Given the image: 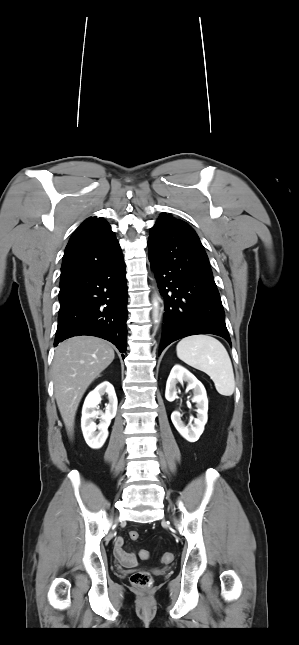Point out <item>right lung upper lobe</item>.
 Returning <instances> with one entry per match:
<instances>
[{
  "mask_svg": "<svg viewBox=\"0 0 299 645\" xmlns=\"http://www.w3.org/2000/svg\"><path fill=\"white\" fill-rule=\"evenodd\" d=\"M122 256L121 248L103 218H88L71 236L61 266L60 289L84 273L110 264Z\"/></svg>",
  "mask_w": 299,
  "mask_h": 645,
  "instance_id": "right-lung-upper-lobe-1",
  "label": "right lung upper lobe"
}]
</instances>
